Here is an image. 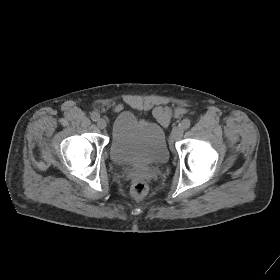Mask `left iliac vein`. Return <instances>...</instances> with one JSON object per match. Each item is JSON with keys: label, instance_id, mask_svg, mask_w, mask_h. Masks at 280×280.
<instances>
[{"label": "left iliac vein", "instance_id": "1", "mask_svg": "<svg viewBox=\"0 0 280 280\" xmlns=\"http://www.w3.org/2000/svg\"><path fill=\"white\" fill-rule=\"evenodd\" d=\"M183 128L181 126L174 127L171 132V138L173 141L180 140L183 136Z\"/></svg>", "mask_w": 280, "mask_h": 280}]
</instances>
